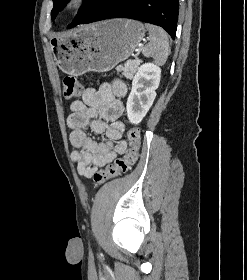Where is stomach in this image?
Masks as SVG:
<instances>
[{
    "label": "stomach",
    "mask_w": 247,
    "mask_h": 280,
    "mask_svg": "<svg viewBox=\"0 0 247 280\" xmlns=\"http://www.w3.org/2000/svg\"><path fill=\"white\" fill-rule=\"evenodd\" d=\"M145 35L144 25L132 19H113L80 27L51 40L60 69L81 75L107 72L128 59Z\"/></svg>",
    "instance_id": "obj_1"
}]
</instances>
